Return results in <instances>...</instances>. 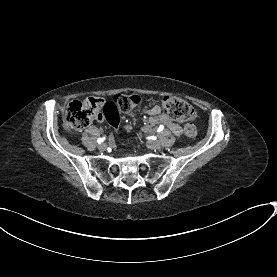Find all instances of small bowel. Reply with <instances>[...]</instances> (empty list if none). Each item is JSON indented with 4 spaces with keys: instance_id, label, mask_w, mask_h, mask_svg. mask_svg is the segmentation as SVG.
I'll return each mask as SVG.
<instances>
[{
    "instance_id": "small-bowel-1",
    "label": "small bowel",
    "mask_w": 277,
    "mask_h": 277,
    "mask_svg": "<svg viewBox=\"0 0 277 277\" xmlns=\"http://www.w3.org/2000/svg\"><path fill=\"white\" fill-rule=\"evenodd\" d=\"M141 113L149 116L150 126H153L156 124H163L177 136H180L183 133L182 127L177 123H175L168 115L163 113L159 106L142 108ZM126 129L130 130V126H127Z\"/></svg>"
}]
</instances>
